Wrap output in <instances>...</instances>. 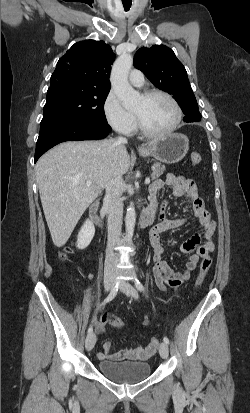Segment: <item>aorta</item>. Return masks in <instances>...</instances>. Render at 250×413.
<instances>
[{"label": "aorta", "mask_w": 250, "mask_h": 413, "mask_svg": "<svg viewBox=\"0 0 250 413\" xmlns=\"http://www.w3.org/2000/svg\"><path fill=\"white\" fill-rule=\"evenodd\" d=\"M133 64V57L130 54H123L114 62L110 81L117 97L122 101L126 109L134 108L139 102L140 93L135 91L128 82V74ZM136 213L134 204L131 202L126 213V235L131 239L134 233Z\"/></svg>", "instance_id": "762f6f07"}]
</instances>
